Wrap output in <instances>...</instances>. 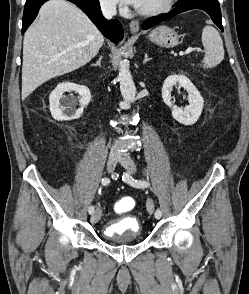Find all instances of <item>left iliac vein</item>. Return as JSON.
<instances>
[{"instance_id": "1", "label": "left iliac vein", "mask_w": 249, "mask_h": 294, "mask_svg": "<svg viewBox=\"0 0 249 294\" xmlns=\"http://www.w3.org/2000/svg\"><path fill=\"white\" fill-rule=\"evenodd\" d=\"M118 160L130 173L136 172V164L127 153H121L118 156ZM147 210L149 213H152L154 210V203L153 200L150 198L147 200Z\"/></svg>"}]
</instances>
